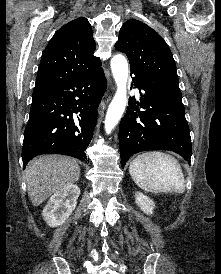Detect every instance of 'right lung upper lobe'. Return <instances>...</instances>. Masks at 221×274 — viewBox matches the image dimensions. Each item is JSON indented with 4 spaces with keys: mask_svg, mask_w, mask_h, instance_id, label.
Returning <instances> with one entry per match:
<instances>
[{
    "mask_svg": "<svg viewBox=\"0 0 221 274\" xmlns=\"http://www.w3.org/2000/svg\"><path fill=\"white\" fill-rule=\"evenodd\" d=\"M92 27L80 17L62 26L44 50L33 95L41 94L68 81L90 75L100 68Z\"/></svg>",
    "mask_w": 221,
    "mask_h": 274,
    "instance_id": "cb5924a9",
    "label": "right lung upper lobe"
}]
</instances>
